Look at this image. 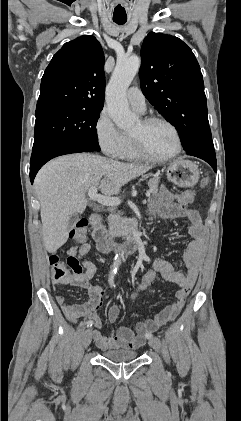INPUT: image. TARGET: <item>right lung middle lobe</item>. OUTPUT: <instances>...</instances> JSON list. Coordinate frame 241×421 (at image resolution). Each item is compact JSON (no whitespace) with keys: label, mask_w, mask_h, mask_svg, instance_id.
I'll list each match as a JSON object with an SVG mask.
<instances>
[{"label":"right lung middle lobe","mask_w":241,"mask_h":421,"mask_svg":"<svg viewBox=\"0 0 241 421\" xmlns=\"http://www.w3.org/2000/svg\"><path fill=\"white\" fill-rule=\"evenodd\" d=\"M101 110L63 106L36 109L32 153L67 144L99 151L96 124Z\"/></svg>","instance_id":"right-lung-middle-lobe-1"}]
</instances>
